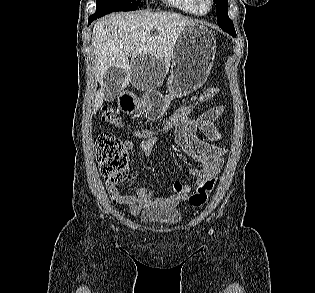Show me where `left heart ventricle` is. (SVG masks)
Here are the masks:
<instances>
[{
    "label": "left heart ventricle",
    "instance_id": "left-heart-ventricle-1",
    "mask_svg": "<svg viewBox=\"0 0 315 293\" xmlns=\"http://www.w3.org/2000/svg\"><path fill=\"white\" fill-rule=\"evenodd\" d=\"M202 7H203L204 9H207V8H208V2H207V0H202Z\"/></svg>",
    "mask_w": 315,
    "mask_h": 293
}]
</instances>
